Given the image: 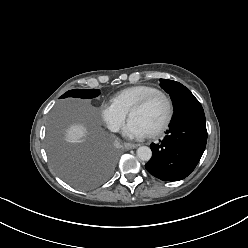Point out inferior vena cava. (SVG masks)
Wrapping results in <instances>:
<instances>
[{
  "label": "inferior vena cava",
  "mask_w": 248,
  "mask_h": 248,
  "mask_svg": "<svg viewBox=\"0 0 248 248\" xmlns=\"http://www.w3.org/2000/svg\"><path fill=\"white\" fill-rule=\"evenodd\" d=\"M110 130L113 131V132H117L119 130V126L118 125H112L110 127Z\"/></svg>",
  "instance_id": "1"
}]
</instances>
